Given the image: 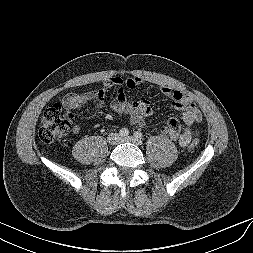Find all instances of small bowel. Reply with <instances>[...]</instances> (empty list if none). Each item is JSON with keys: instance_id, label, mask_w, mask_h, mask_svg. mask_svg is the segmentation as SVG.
<instances>
[{"instance_id": "1", "label": "small bowel", "mask_w": 253, "mask_h": 253, "mask_svg": "<svg viewBox=\"0 0 253 253\" xmlns=\"http://www.w3.org/2000/svg\"><path fill=\"white\" fill-rule=\"evenodd\" d=\"M144 83L145 80L139 76H112L104 81L102 88L67 94L63 98V104L68 109H75L87 104H90L92 109H100L106 103L105 91L115 87L117 92L111 102L112 110L119 115L127 116L133 124L143 123L146 118L152 116V107L143 97L134 102H129L126 89H134ZM160 90L170 98L173 108L183 111L182 122L184 124L183 129H181L179 120L171 117L167 124L162 127L161 133L174 141H178L182 147H186L196 136L193 125L202 121V114L194 101L180 90L170 86H162ZM72 131L74 134H78L81 128L79 125H74Z\"/></svg>"}]
</instances>
